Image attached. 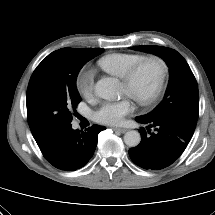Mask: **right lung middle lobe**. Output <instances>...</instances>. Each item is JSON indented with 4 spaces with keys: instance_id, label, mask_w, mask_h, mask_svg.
<instances>
[{
    "instance_id": "right-lung-middle-lobe-1",
    "label": "right lung middle lobe",
    "mask_w": 215,
    "mask_h": 215,
    "mask_svg": "<svg viewBox=\"0 0 215 215\" xmlns=\"http://www.w3.org/2000/svg\"><path fill=\"white\" fill-rule=\"evenodd\" d=\"M104 49L62 48L49 54L33 72L26 94L28 123L38 146L71 125L81 101L76 78L82 66Z\"/></svg>"
}]
</instances>
